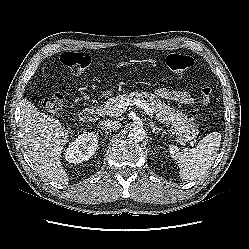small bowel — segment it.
Instances as JSON below:
<instances>
[{
    "label": "small bowel",
    "mask_w": 249,
    "mask_h": 249,
    "mask_svg": "<svg viewBox=\"0 0 249 249\" xmlns=\"http://www.w3.org/2000/svg\"><path fill=\"white\" fill-rule=\"evenodd\" d=\"M157 95L161 98L189 105L193 102V97L186 91L161 88L157 90Z\"/></svg>",
    "instance_id": "small-bowel-1"
}]
</instances>
